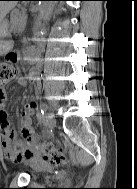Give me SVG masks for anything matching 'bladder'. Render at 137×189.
<instances>
[{"label":"bladder","mask_w":137,"mask_h":189,"mask_svg":"<svg viewBox=\"0 0 137 189\" xmlns=\"http://www.w3.org/2000/svg\"><path fill=\"white\" fill-rule=\"evenodd\" d=\"M50 166L47 163L39 162L36 164L35 170L37 172H47L49 171Z\"/></svg>","instance_id":"obj_1"}]
</instances>
